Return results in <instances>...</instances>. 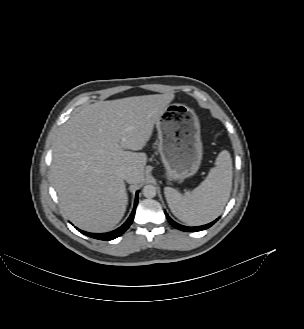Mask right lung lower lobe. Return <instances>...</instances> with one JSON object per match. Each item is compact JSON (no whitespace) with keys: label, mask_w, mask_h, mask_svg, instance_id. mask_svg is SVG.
Segmentation results:
<instances>
[{"label":"right lung lower lobe","mask_w":304,"mask_h":329,"mask_svg":"<svg viewBox=\"0 0 304 329\" xmlns=\"http://www.w3.org/2000/svg\"><path fill=\"white\" fill-rule=\"evenodd\" d=\"M137 203H138V193H136L134 209H133L130 217L127 219V221L121 227H119L118 229H116L114 231H111L108 233H89V232L82 231L78 228H77V230L80 231L84 235H87L89 237L99 239V240L108 241V240L115 239V238L119 237L122 233H124L130 226V224L132 223L134 215H135Z\"/></svg>","instance_id":"obj_1"}]
</instances>
